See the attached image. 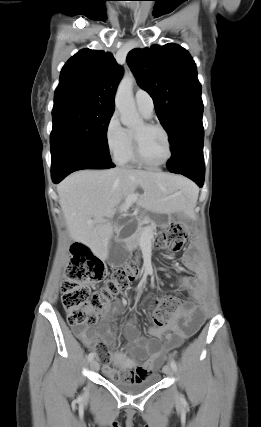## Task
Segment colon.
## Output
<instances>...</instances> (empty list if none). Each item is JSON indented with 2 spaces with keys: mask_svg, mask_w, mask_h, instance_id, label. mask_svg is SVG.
<instances>
[{
  "mask_svg": "<svg viewBox=\"0 0 261 427\" xmlns=\"http://www.w3.org/2000/svg\"><path fill=\"white\" fill-rule=\"evenodd\" d=\"M187 236L182 226L172 224L158 232L157 243L162 248L177 252L183 249ZM136 275L137 266L134 261L108 272L104 262L94 256L87 246L74 244L67 274L61 285L62 305L68 323L71 326L96 324L107 312L110 300L126 290ZM103 280V288L94 290L93 285ZM180 306L181 300L176 296L157 298L152 313L156 328L165 327Z\"/></svg>",
  "mask_w": 261,
  "mask_h": 427,
  "instance_id": "1",
  "label": "colon"
}]
</instances>
